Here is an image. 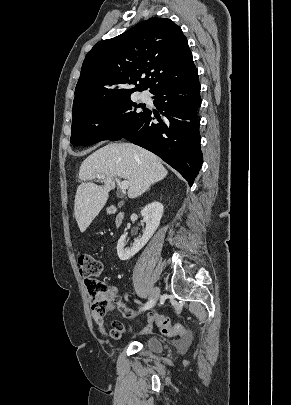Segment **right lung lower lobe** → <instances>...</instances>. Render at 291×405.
Returning a JSON list of instances; mask_svg holds the SVG:
<instances>
[{
    "label": "right lung lower lobe",
    "mask_w": 291,
    "mask_h": 405,
    "mask_svg": "<svg viewBox=\"0 0 291 405\" xmlns=\"http://www.w3.org/2000/svg\"><path fill=\"white\" fill-rule=\"evenodd\" d=\"M200 89L198 73L158 87L152 94L163 117L148 110L123 137L158 155L181 173L190 186L203 163L199 134ZM155 118L159 123L153 122Z\"/></svg>",
    "instance_id": "right-lung-lower-lobe-1"
}]
</instances>
